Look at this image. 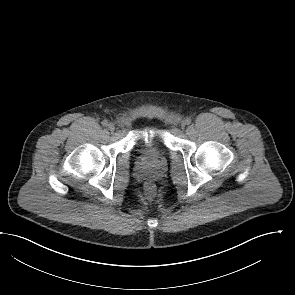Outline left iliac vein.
<instances>
[{
    "label": "left iliac vein",
    "mask_w": 295,
    "mask_h": 295,
    "mask_svg": "<svg viewBox=\"0 0 295 295\" xmlns=\"http://www.w3.org/2000/svg\"><path fill=\"white\" fill-rule=\"evenodd\" d=\"M181 126L182 127H185L186 126V122L185 121H182Z\"/></svg>",
    "instance_id": "1"
}]
</instances>
